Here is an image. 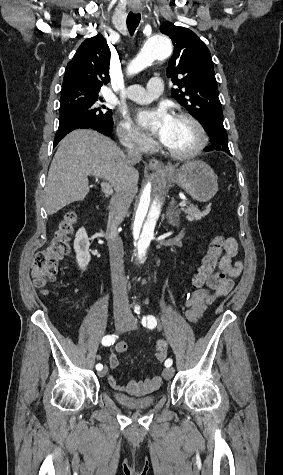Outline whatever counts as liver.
Segmentation results:
<instances>
[{
  "label": "liver",
  "instance_id": "obj_1",
  "mask_svg": "<svg viewBox=\"0 0 283 475\" xmlns=\"http://www.w3.org/2000/svg\"><path fill=\"white\" fill-rule=\"evenodd\" d=\"M133 164L137 162H129L110 138L94 130H74L60 142L49 168L44 196L48 216L84 200L88 176L108 180L114 190L127 186L135 196L139 174L134 168L127 172Z\"/></svg>",
  "mask_w": 283,
  "mask_h": 475
}]
</instances>
